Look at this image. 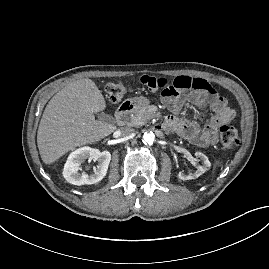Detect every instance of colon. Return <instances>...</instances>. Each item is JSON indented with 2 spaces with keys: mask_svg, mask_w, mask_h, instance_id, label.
<instances>
[{
  "mask_svg": "<svg viewBox=\"0 0 269 269\" xmlns=\"http://www.w3.org/2000/svg\"><path fill=\"white\" fill-rule=\"evenodd\" d=\"M150 78L151 77L147 79L146 84H147V87L151 90L148 83ZM128 91H129V86L123 83L112 82L106 86L107 96L111 101H114V102L119 101L125 94L128 93ZM171 96H174L173 92L169 96L164 97V98L167 99ZM220 142H221V145L227 149L236 147L239 143V136H238L237 130L230 125L221 126Z\"/></svg>",
  "mask_w": 269,
  "mask_h": 269,
  "instance_id": "5ec220e1",
  "label": "colon"
}]
</instances>
